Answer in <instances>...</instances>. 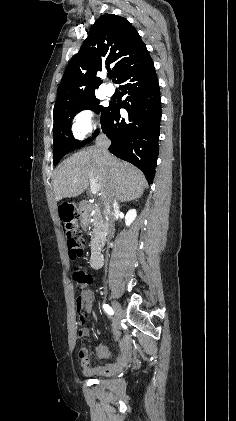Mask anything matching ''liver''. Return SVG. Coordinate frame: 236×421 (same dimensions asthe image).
<instances>
[{
    "label": "liver",
    "mask_w": 236,
    "mask_h": 421,
    "mask_svg": "<svg viewBox=\"0 0 236 421\" xmlns=\"http://www.w3.org/2000/svg\"><path fill=\"white\" fill-rule=\"evenodd\" d=\"M105 164L102 152L95 146L74 152L56 166L53 172V190L55 200L77 196L89 184V178H95L100 186L101 200H134L140 198L147 186V180L136 166L122 162L116 156H110Z\"/></svg>",
    "instance_id": "6515ba94"
}]
</instances>
